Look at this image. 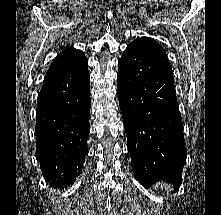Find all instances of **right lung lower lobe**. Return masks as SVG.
Segmentation results:
<instances>
[{
    "label": "right lung lower lobe",
    "mask_w": 221,
    "mask_h": 215,
    "mask_svg": "<svg viewBox=\"0 0 221 215\" xmlns=\"http://www.w3.org/2000/svg\"><path fill=\"white\" fill-rule=\"evenodd\" d=\"M90 78L83 57L46 75L36 112V158L45 180L70 184L80 174L88 152Z\"/></svg>",
    "instance_id": "1"
}]
</instances>
